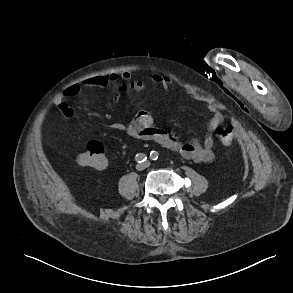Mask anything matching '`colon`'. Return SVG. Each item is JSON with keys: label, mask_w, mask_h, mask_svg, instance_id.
I'll list each match as a JSON object with an SVG mask.
<instances>
[{"label": "colon", "mask_w": 293, "mask_h": 293, "mask_svg": "<svg viewBox=\"0 0 293 293\" xmlns=\"http://www.w3.org/2000/svg\"><path fill=\"white\" fill-rule=\"evenodd\" d=\"M215 134L221 144L230 145L234 130L231 125H221L215 129ZM78 163L83 167L101 170L107 167L108 160L105 156V147L100 141L89 142L85 150L79 154Z\"/></svg>", "instance_id": "colon-1"}]
</instances>
